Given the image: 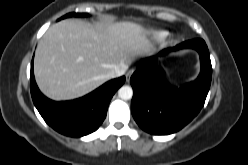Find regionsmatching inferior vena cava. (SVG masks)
<instances>
[{"mask_svg": "<svg viewBox=\"0 0 248 165\" xmlns=\"http://www.w3.org/2000/svg\"><path fill=\"white\" fill-rule=\"evenodd\" d=\"M125 70H126V67H122V68L117 67V68L113 69L112 71H110L108 73L107 77L109 79L119 77L125 73Z\"/></svg>", "mask_w": 248, "mask_h": 165, "instance_id": "inferior-vena-cava-1", "label": "inferior vena cava"}]
</instances>
